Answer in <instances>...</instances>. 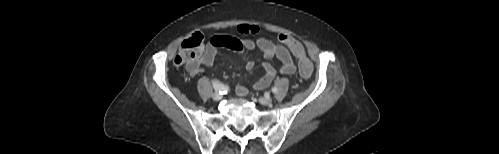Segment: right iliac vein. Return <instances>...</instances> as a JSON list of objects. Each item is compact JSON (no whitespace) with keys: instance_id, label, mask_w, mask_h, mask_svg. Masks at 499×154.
Listing matches in <instances>:
<instances>
[{"instance_id":"63e3f726","label":"right iliac vein","mask_w":499,"mask_h":154,"mask_svg":"<svg viewBox=\"0 0 499 154\" xmlns=\"http://www.w3.org/2000/svg\"><path fill=\"white\" fill-rule=\"evenodd\" d=\"M221 98H222V96H221V94H220V93H218V92H215V93H213V94H212V99H213L214 101H219V100H221Z\"/></svg>"}]
</instances>
